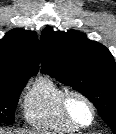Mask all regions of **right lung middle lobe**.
I'll use <instances>...</instances> for the list:
<instances>
[{"label": "right lung middle lobe", "mask_w": 116, "mask_h": 134, "mask_svg": "<svg viewBox=\"0 0 116 134\" xmlns=\"http://www.w3.org/2000/svg\"><path fill=\"white\" fill-rule=\"evenodd\" d=\"M27 81L11 87L0 86V123L12 124L19 95Z\"/></svg>", "instance_id": "dd1d6c3e"}]
</instances>
